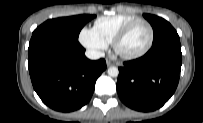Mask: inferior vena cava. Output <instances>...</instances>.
Returning a JSON list of instances; mask_svg holds the SVG:
<instances>
[{
	"instance_id": "602c4592",
	"label": "inferior vena cava",
	"mask_w": 203,
	"mask_h": 123,
	"mask_svg": "<svg viewBox=\"0 0 203 123\" xmlns=\"http://www.w3.org/2000/svg\"><path fill=\"white\" fill-rule=\"evenodd\" d=\"M85 55L87 58L92 60H96L105 56L104 52L93 49L86 50Z\"/></svg>"
}]
</instances>
